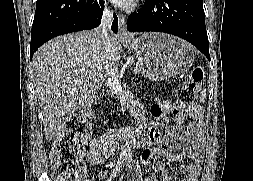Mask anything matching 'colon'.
Instances as JSON below:
<instances>
[{
    "label": "colon",
    "instance_id": "1",
    "mask_svg": "<svg viewBox=\"0 0 253 181\" xmlns=\"http://www.w3.org/2000/svg\"><path fill=\"white\" fill-rule=\"evenodd\" d=\"M203 75V67L196 65L190 78L178 92L174 115L176 123L180 126H185L187 123L190 126L196 124L194 104L197 101ZM89 134V125L82 116L75 115L65 121L51 148L55 181H83L85 173L83 152Z\"/></svg>",
    "mask_w": 253,
    "mask_h": 181
}]
</instances>
